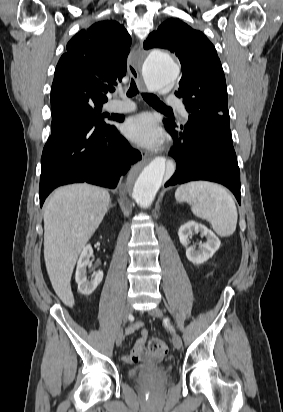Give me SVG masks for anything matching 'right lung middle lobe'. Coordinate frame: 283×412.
<instances>
[{
	"label": "right lung middle lobe",
	"mask_w": 283,
	"mask_h": 412,
	"mask_svg": "<svg viewBox=\"0 0 283 412\" xmlns=\"http://www.w3.org/2000/svg\"><path fill=\"white\" fill-rule=\"evenodd\" d=\"M102 103L81 101L70 106L66 111L52 115L51 129L74 128L83 120L89 119L96 123H104V118L111 119L107 114H101Z\"/></svg>",
	"instance_id": "obj_1"
}]
</instances>
